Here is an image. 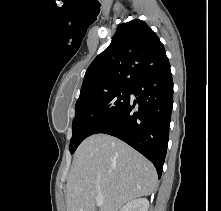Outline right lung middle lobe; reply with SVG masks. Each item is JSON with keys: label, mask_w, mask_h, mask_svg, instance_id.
<instances>
[{"label": "right lung middle lobe", "mask_w": 221, "mask_h": 211, "mask_svg": "<svg viewBox=\"0 0 221 211\" xmlns=\"http://www.w3.org/2000/svg\"><path fill=\"white\" fill-rule=\"evenodd\" d=\"M129 98L130 88H121L78 99L72 124L71 154L85 138L96 134L99 129L111 121L128 103Z\"/></svg>", "instance_id": "dd1d6c3e"}]
</instances>
